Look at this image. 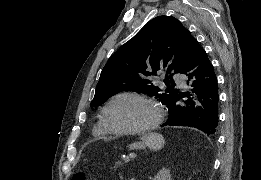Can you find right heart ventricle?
<instances>
[{
    "label": "right heart ventricle",
    "mask_w": 261,
    "mask_h": 180,
    "mask_svg": "<svg viewBox=\"0 0 261 180\" xmlns=\"http://www.w3.org/2000/svg\"><path fill=\"white\" fill-rule=\"evenodd\" d=\"M91 135L93 136V138L95 140L98 141H110V140H114L117 139V137L111 135L106 128L104 127L102 120L99 119L96 124L92 127L91 129Z\"/></svg>",
    "instance_id": "e07e8e85"
}]
</instances>
